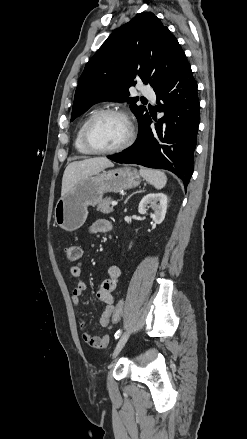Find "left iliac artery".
Returning a JSON list of instances; mask_svg holds the SVG:
<instances>
[{
	"label": "left iliac artery",
	"instance_id": "obj_1",
	"mask_svg": "<svg viewBox=\"0 0 247 439\" xmlns=\"http://www.w3.org/2000/svg\"><path fill=\"white\" fill-rule=\"evenodd\" d=\"M120 335H121V330H118V331L115 333V338L118 339V338L120 337Z\"/></svg>",
	"mask_w": 247,
	"mask_h": 439
}]
</instances>
